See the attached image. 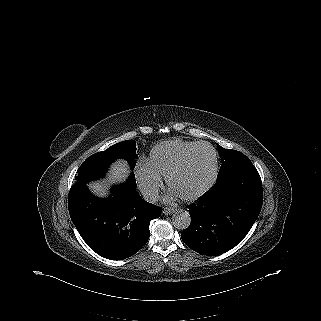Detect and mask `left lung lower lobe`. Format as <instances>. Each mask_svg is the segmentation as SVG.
I'll list each match as a JSON object with an SVG mask.
<instances>
[{"label":"left lung lower lobe","instance_id":"obj_1","mask_svg":"<svg viewBox=\"0 0 321 321\" xmlns=\"http://www.w3.org/2000/svg\"><path fill=\"white\" fill-rule=\"evenodd\" d=\"M262 202V182L254 165L233 166L218 175L211 190L189 207L191 223L181 238L199 254H223L248 234Z\"/></svg>","mask_w":321,"mask_h":321}]
</instances>
